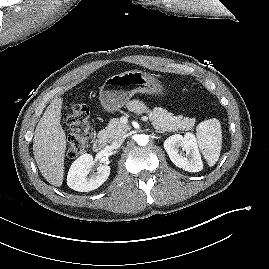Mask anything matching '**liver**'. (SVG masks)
Returning a JSON list of instances; mask_svg holds the SVG:
<instances>
[{
	"label": "liver",
	"mask_w": 269,
	"mask_h": 269,
	"mask_svg": "<svg viewBox=\"0 0 269 269\" xmlns=\"http://www.w3.org/2000/svg\"><path fill=\"white\" fill-rule=\"evenodd\" d=\"M63 99L56 98L46 108L36 126L33 153L42 176L52 185L60 187L64 177L66 134L61 120Z\"/></svg>",
	"instance_id": "obj_1"
}]
</instances>
